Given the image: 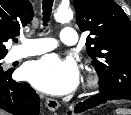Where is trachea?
Returning a JSON list of instances; mask_svg holds the SVG:
<instances>
[{"label": "trachea", "instance_id": "trachea-1", "mask_svg": "<svg viewBox=\"0 0 131 115\" xmlns=\"http://www.w3.org/2000/svg\"><path fill=\"white\" fill-rule=\"evenodd\" d=\"M53 0L43 1V25L46 26L52 12ZM17 42V40L15 41Z\"/></svg>", "mask_w": 131, "mask_h": 115}]
</instances>
